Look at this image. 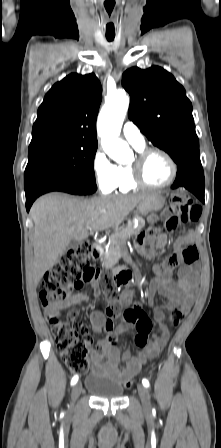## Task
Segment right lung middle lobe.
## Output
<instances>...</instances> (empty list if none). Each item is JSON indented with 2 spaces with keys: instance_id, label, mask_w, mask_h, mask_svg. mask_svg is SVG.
I'll list each match as a JSON object with an SVG mask.
<instances>
[{
  "instance_id": "1",
  "label": "right lung middle lobe",
  "mask_w": 221,
  "mask_h": 448,
  "mask_svg": "<svg viewBox=\"0 0 221 448\" xmlns=\"http://www.w3.org/2000/svg\"><path fill=\"white\" fill-rule=\"evenodd\" d=\"M97 147V141L71 140L29 148L25 173L47 170L77 180L95 181Z\"/></svg>"
}]
</instances>
